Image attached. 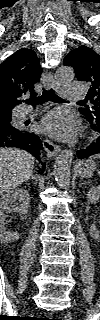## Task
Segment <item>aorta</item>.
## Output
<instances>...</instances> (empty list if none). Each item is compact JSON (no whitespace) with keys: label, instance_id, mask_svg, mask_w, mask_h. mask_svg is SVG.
<instances>
[{"label":"aorta","instance_id":"obj_1","mask_svg":"<svg viewBox=\"0 0 100 320\" xmlns=\"http://www.w3.org/2000/svg\"><path fill=\"white\" fill-rule=\"evenodd\" d=\"M74 77V70L69 66H61L55 73V78L60 84H68L73 81ZM72 159L73 152L71 150H63L56 158L53 172L55 180L61 188L70 185Z\"/></svg>","mask_w":100,"mask_h":320}]
</instances>
